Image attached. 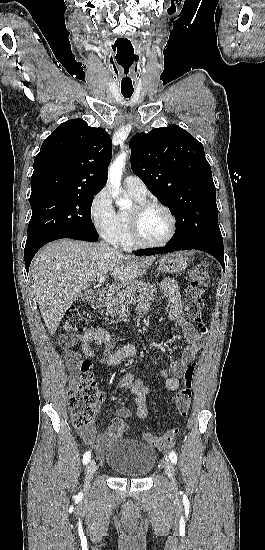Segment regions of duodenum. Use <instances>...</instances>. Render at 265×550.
I'll list each match as a JSON object with an SVG mask.
<instances>
[{"mask_svg": "<svg viewBox=\"0 0 265 550\" xmlns=\"http://www.w3.org/2000/svg\"><path fill=\"white\" fill-rule=\"evenodd\" d=\"M106 301L107 295L104 292H98L92 300V307L96 310L100 309L104 306Z\"/></svg>", "mask_w": 265, "mask_h": 550, "instance_id": "duodenum-1", "label": "duodenum"}]
</instances>
